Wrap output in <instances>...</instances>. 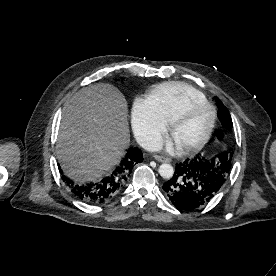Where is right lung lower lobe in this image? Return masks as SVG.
Segmentation results:
<instances>
[{
    "mask_svg": "<svg viewBox=\"0 0 276 276\" xmlns=\"http://www.w3.org/2000/svg\"><path fill=\"white\" fill-rule=\"evenodd\" d=\"M142 155V151L137 148L129 149L124 158L108 176L94 183L90 182L80 185L64 175L62 179L66 181L73 194L80 200L90 204L103 203L125 186L133 167L143 161Z\"/></svg>",
    "mask_w": 276,
    "mask_h": 276,
    "instance_id": "1",
    "label": "right lung lower lobe"
}]
</instances>
